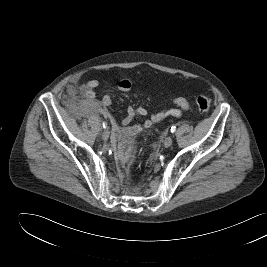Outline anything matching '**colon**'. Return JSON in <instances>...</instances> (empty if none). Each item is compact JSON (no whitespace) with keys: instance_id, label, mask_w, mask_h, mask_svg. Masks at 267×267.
Masks as SVG:
<instances>
[{"instance_id":"5ec220e1","label":"colon","mask_w":267,"mask_h":267,"mask_svg":"<svg viewBox=\"0 0 267 267\" xmlns=\"http://www.w3.org/2000/svg\"><path fill=\"white\" fill-rule=\"evenodd\" d=\"M195 104H196L197 109L201 113H207L210 109V101L204 95H199L195 100Z\"/></svg>"}]
</instances>
